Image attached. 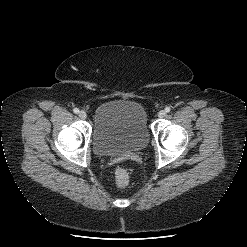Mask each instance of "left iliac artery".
Instances as JSON below:
<instances>
[{
    "instance_id": "left-iliac-artery-1",
    "label": "left iliac artery",
    "mask_w": 247,
    "mask_h": 247,
    "mask_svg": "<svg viewBox=\"0 0 247 247\" xmlns=\"http://www.w3.org/2000/svg\"><path fill=\"white\" fill-rule=\"evenodd\" d=\"M170 110H171L170 107H166V108H165V111H166V112H170Z\"/></svg>"
}]
</instances>
